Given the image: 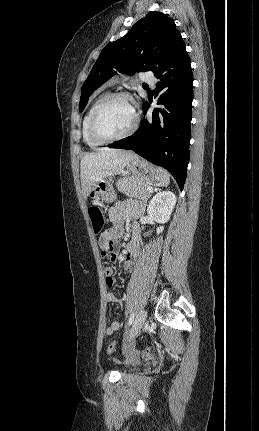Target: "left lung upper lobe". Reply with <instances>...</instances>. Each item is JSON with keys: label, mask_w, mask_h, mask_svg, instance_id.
<instances>
[{"label": "left lung upper lobe", "mask_w": 259, "mask_h": 431, "mask_svg": "<svg viewBox=\"0 0 259 431\" xmlns=\"http://www.w3.org/2000/svg\"><path fill=\"white\" fill-rule=\"evenodd\" d=\"M181 39L171 18L161 12L147 14L124 37L104 47L82 86L80 112L90 95L117 72L128 75L141 71L155 73Z\"/></svg>", "instance_id": "5c2ea615"}]
</instances>
